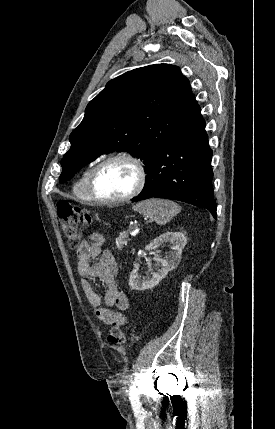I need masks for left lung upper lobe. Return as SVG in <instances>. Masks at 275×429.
Segmentation results:
<instances>
[{
  "instance_id": "left-lung-upper-lobe-1",
  "label": "left lung upper lobe",
  "mask_w": 275,
  "mask_h": 429,
  "mask_svg": "<svg viewBox=\"0 0 275 429\" xmlns=\"http://www.w3.org/2000/svg\"><path fill=\"white\" fill-rule=\"evenodd\" d=\"M192 100L189 80L169 64L137 68L109 81L89 102L82 122L70 134L71 147L61 160L60 183L115 150L141 158L147 170Z\"/></svg>"
}]
</instances>
